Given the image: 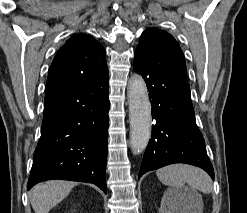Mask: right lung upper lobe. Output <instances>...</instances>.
<instances>
[{
	"label": "right lung upper lobe",
	"instance_id": "obj_1",
	"mask_svg": "<svg viewBox=\"0 0 247 213\" xmlns=\"http://www.w3.org/2000/svg\"><path fill=\"white\" fill-rule=\"evenodd\" d=\"M108 73L105 50L89 34H77L66 41L48 73L46 93L59 87Z\"/></svg>",
	"mask_w": 247,
	"mask_h": 213
}]
</instances>
